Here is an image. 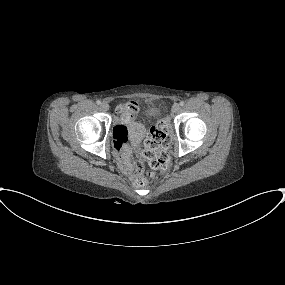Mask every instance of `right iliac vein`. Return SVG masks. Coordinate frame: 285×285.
<instances>
[{
	"label": "right iliac vein",
	"mask_w": 285,
	"mask_h": 285,
	"mask_svg": "<svg viewBox=\"0 0 285 285\" xmlns=\"http://www.w3.org/2000/svg\"><path fill=\"white\" fill-rule=\"evenodd\" d=\"M100 107L104 111H107L109 109V105L106 102L101 103Z\"/></svg>",
	"instance_id": "1"
}]
</instances>
